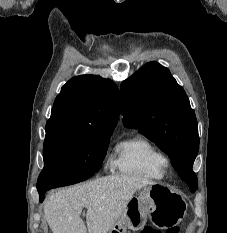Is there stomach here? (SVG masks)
I'll list each match as a JSON object with an SVG mask.
<instances>
[{"mask_svg": "<svg viewBox=\"0 0 227 233\" xmlns=\"http://www.w3.org/2000/svg\"><path fill=\"white\" fill-rule=\"evenodd\" d=\"M187 211L184 197L164 184L143 187L139 196L132 198L108 233L139 230L147 219L160 228L170 229L180 223Z\"/></svg>", "mask_w": 227, "mask_h": 233, "instance_id": "1", "label": "stomach"}]
</instances>
